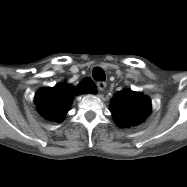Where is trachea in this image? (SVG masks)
Segmentation results:
<instances>
[{
  "mask_svg": "<svg viewBox=\"0 0 187 187\" xmlns=\"http://www.w3.org/2000/svg\"><path fill=\"white\" fill-rule=\"evenodd\" d=\"M92 76H93V79H99V80H102V81L106 80L105 72L100 67H96V68L93 69Z\"/></svg>",
  "mask_w": 187,
  "mask_h": 187,
  "instance_id": "3493384b",
  "label": "trachea"
}]
</instances>
